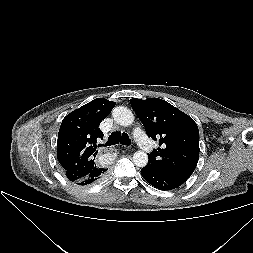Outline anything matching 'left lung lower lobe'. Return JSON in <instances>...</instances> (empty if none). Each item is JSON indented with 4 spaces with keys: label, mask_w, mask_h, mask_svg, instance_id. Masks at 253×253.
I'll use <instances>...</instances> for the list:
<instances>
[{
    "label": "left lung lower lobe",
    "mask_w": 253,
    "mask_h": 253,
    "mask_svg": "<svg viewBox=\"0 0 253 253\" xmlns=\"http://www.w3.org/2000/svg\"><path fill=\"white\" fill-rule=\"evenodd\" d=\"M141 175L148 183L160 190L175 189L182 184L179 180L162 173L148 164L141 169Z\"/></svg>",
    "instance_id": "obj_1"
}]
</instances>
